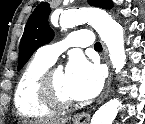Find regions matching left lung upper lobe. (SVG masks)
<instances>
[{
    "label": "left lung upper lobe",
    "instance_id": "obj_1",
    "mask_svg": "<svg viewBox=\"0 0 145 124\" xmlns=\"http://www.w3.org/2000/svg\"><path fill=\"white\" fill-rule=\"evenodd\" d=\"M92 6L111 9L113 4L111 0H88ZM51 12L49 3L42 2L29 17L20 42L18 70H20L31 55L39 47L49 43L54 32L48 24V16Z\"/></svg>",
    "mask_w": 145,
    "mask_h": 124
}]
</instances>
